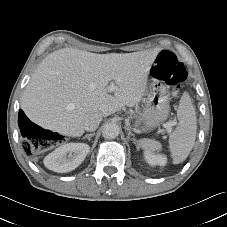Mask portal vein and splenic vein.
<instances>
[{
  "instance_id": "portal-vein-and-splenic-vein-1",
  "label": "portal vein and splenic vein",
  "mask_w": 227,
  "mask_h": 227,
  "mask_svg": "<svg viewBox=\"0 0 227 227\" xmlns=\"http://www.w3.org/2000/svg\"><path fill=\"white\" fill-rule=\"evenodd\" d=\"M114 88H115V87H114V84H111L110 87H109V90H110V91H113ZM173 124H175V123H174V122H167V123H165V124L163 125L164 128L166 129V131H167L168 134H171Z\"/></svg>"
}]
</instances>
